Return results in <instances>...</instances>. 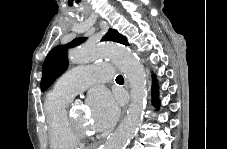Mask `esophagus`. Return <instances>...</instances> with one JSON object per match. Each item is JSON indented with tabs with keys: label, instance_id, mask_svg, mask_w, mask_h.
<instances>
[{
	"label": "esophagus",
	"instance_id": "34e87169",
	"mask_svg": "<svg viewBox=\"0 0 227 149\" xmlns=\"http://www.w3.org/2000/svg\"><path fill=\"white\" fill-rule=\"evenodd\" d=\"M127 115H128L127 111H122L120 114V119H125V116H127Z\"/></svg>",
	"mask_w": 227,
	"mask_h": 149
}]
</instances>
